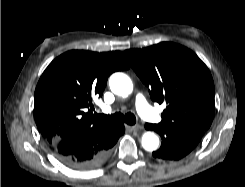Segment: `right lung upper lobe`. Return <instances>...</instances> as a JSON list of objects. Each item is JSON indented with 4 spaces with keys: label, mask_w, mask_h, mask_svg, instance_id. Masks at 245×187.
<instances>
[{
    "label": "right lung upper lobe",
    "mask_w": 245,
    "mask_h": 187,
    "mask_svg": "<svg viewBox=\"0 0 245 187\" xmlns=\"http://www.w3.org/2000/svg\"><path fill=\"white\" fill-rule=\"evenodd\" d=\"M128 68L119 51L71 50L53 60L35 89V122L47 143L109 126L85 110L94 108L93 98L102 96L111 73Z\"/></svg>",
    "instance_id": "right-lung-upper-lobe-1"
}]
</instances>
